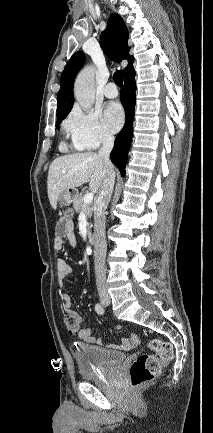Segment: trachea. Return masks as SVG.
<instances>
[{"mask_svg":"<svg viewBox=\"0 0 213 433\" xmlns=\"http://www.w3.org/2000/svg\"><path fill=\"white\" fill-rule=\"evenodd\" d=\"M113 79L116 85L122 86L123 84V72L122 70H116V72L113 75Z\"/></svg>","mask_w":213,"mask_h":433,"instance_id":"1","label":"trachea"}]
</instances>
